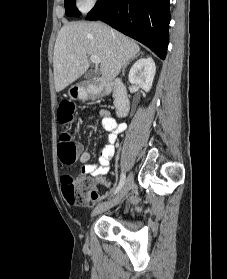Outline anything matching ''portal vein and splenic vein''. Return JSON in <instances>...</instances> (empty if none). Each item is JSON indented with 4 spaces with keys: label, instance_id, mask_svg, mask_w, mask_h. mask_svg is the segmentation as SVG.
Returning <instances> with one entry per match:
<instances>
[{
    "label": "portal vein and splenic vein",
    "instance_id": "obj_1",
    "mask_svg": "<svg viewBox=\"0 0 227 279\" xmlns=\"http://www.w3.org/2000/svg\"><path fill=\"white\" fill-rule=\"evenodd\" d=\"M90 60L92 61V63H94L96 65L100 63V58L97 56H91Z\"/></svg>",
    "mask_w": 227,
    "mask_h": 279
}]
</instances>
